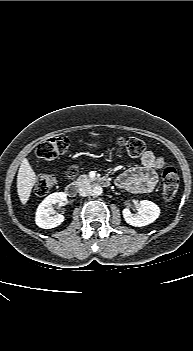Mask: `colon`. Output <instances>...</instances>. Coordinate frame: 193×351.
<instances>
[{
  "label": "colon",
  "mask_w": 193,
  "mask_h": 351,
  "mask_svg": "<svg viewBox=\"0 0 193 351\" xmlns=\"http://www.w3.org/2000/svg\"><path fill=\"white\" fill-rule=\"evenodd\" d=\"M110 144L121 152L131 157L141 156L145 149V143L136 137H118L110 139ZM72 145V140L65 136H55L46 139L36 147V155L42 160H52L66 155ZM77 169L72 167L68 171V177L74 178ZM55 185V178L49 174L38 176L35 182L34 191L37 196L47 195ZM179 187V174L174 167H167L162 174V197L166 201H171L177 194Z\"/></svg>",
  "instance_id": "colon-1"
}]
</instances>
